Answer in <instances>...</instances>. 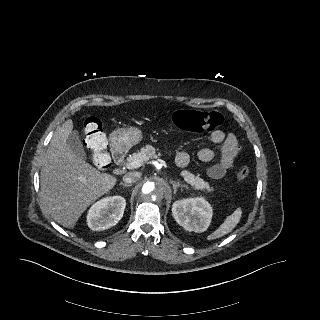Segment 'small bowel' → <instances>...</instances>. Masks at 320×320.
<instances>
[{"label": "small bowel", "mask_w": 320, "mask_h": 320, "mask_svg": "<svg viewBox=\"0 0 320 320\" xmlns=\"http://www.w3.org/2000/svg\"><path fill=\"white\" fill-rule=\"evenodd\" d=\"M213 144L220 145L219 160L210 165L207 170L208 176L212 179H220L232 169L235 159L239 155L240 145L233 133H225L222 130H215L210 135ZM198 158L202 162L210 163L215 158V151L209 148H203L198 152ZM190 162V156L185 151H180L176 155V163L180 167H185Z\"/></svg>", "instance_id": "obj_1"}]
</instances>
